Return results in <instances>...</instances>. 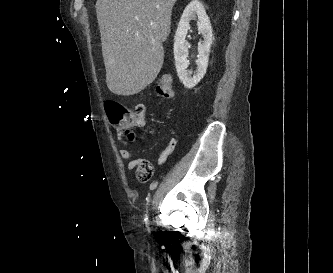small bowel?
Here are the masks:
<instances>
[{
    "label": "small bowel",
    "instance_id": "obj_1",
    "mask_svg": "<svg viewBox=\"0 0 333 273\" xmlns=\"http://www.w3.org/2000/svg\"><path fill=\"white\" fill-rule=\"evenodd\" d=\"M132 106V113H135V122L139 123L138 127L144 126L148 122V112L146 111V105L143 100H134ZM177 147V139L171 137L167 146L161 151L155 160L156 165L164 164L167 159L173 154ZM120 157L128 161L127 167L132 170L136 168L138 159L133 158L132 152L127 148H121L119 150Z\"/></svg>",
    "mask_w": 333,
    "mask_h": 273
}]
</instances>
